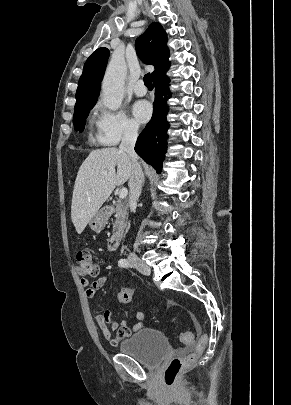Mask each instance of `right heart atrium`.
<instances>
[{"label":"right heart atrium","mask_w":291,"mask_h":405,"mask_svg":"<svg viewBox=\"0 0 291 405\" xmlns=\"http://www.w3.org/2000/svg\"><path fill=\"white\" fill-rule=\"evenodd\" d=\"M96 141L102 146H116L123 140L134 139L139 127L127 114L98 105L94 110Z\"/></svg>","instance_id":"obj_1"}]
</instances>
